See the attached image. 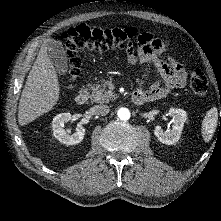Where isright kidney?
I'll return each mask as SVG.
<instances>
[{
    "instance_id": "obj_1",
    "label": "right kidney",
    "mask_w": 221,
    "mask_h": 221,
    "mask_svg": "<svg viewBox=\"0 0 221 221\" xmlns=\"http://www.w3.org/2000/svg\"><path fill=\"white\" fill-rule=\"evenodd\" d=\"M70 120H73V116L70 113H60L55 116L52 121L53 136L63 144L75 145L83 140L85 128L78 126L75 133L66 132L63 129L64 123Z\"/></svg>"
}]
</instances>
